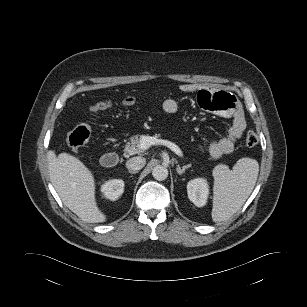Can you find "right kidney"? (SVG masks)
<instances>
[{
	"instance_id": "ca27d5eb",
	"label": "right kidney",
	"mask_w": 307,
	"mask_h": 307,
	"mask_svg": "<svg viewBox=\"0 0 307 307\" xmlns=\"http://www.w3.org/2000/svg\"><path fill=\"white\" fill-rule=\"evenodd\" d=\"M124 191V181L121 179H112L106 181L101 186V192L104 197L111 201L117 200Z\"/></svg>"
}]
</instances>
